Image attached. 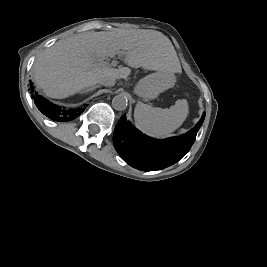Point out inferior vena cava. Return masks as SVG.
I'll use <instances>...</instances> for the list:
<instances>
[{
  "instance_id": "obj_1",
  "label": "inferior vena cava",
  "mask_w": 267,
  "mask_h": 267,
  "mask_svg": "<svg viewBox=\"0 0 267 267\" xmlns=\"http://www.w3.org/2000/svg\"><path fill=\"white\" fill-rule=\"evenodd\" d=\"M115 79L111 77H102L98 80V83L103 86H114L115 85Z\"/></svg>"
}]
</instances>
